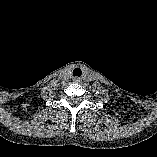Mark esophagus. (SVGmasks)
Instances as JSON below:
<instances>
[{
    "mask_svg": "<svg viewBox=\"0 0 157 157\" xmlns=\"http://www.w3.org/2000/svg\"><path fill=\"white\" fill-rule=\"evenodd\" d=\"M73 80L76 83H80L81 82V78L80 77H75Z\"/></svg>",
    "mask_w": 157,
    "mask_h": 157,
    "instance_id": "esophagus-1",
    "label": "esophagus"
}]
</instances>
